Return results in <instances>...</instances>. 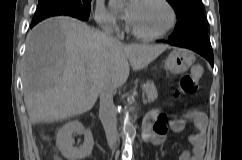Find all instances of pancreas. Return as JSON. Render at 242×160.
Wrapping results in <instances>:
<instances>
[{"label": "pancreas", "mask_w": 242, "mask_h": 160, "mask_svg": "<svg viewBox=\"0 0 242 160\" xmlns=\"http://www.w3.org/2000/svg\"><path fill=\"white\" fill-rule=\"evenodd\" d=\"M142 88H143L149 102H152L157 99L158 93H157L156 87L152 81H147L145 84L142 85Z\"/></svg>", "instance_id": "1"}]
</instances>
